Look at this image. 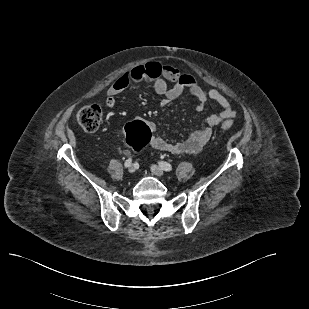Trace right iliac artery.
<instances>
[{"label": "right iliac artery", "instance_id": "obj_1", "mask_svg": "<svg viewBox=\"0 0 309 309\" xmlns=\"http://www.w3.org/2000/svg\"><path fill=\"white\" fill-rule=\"evenodd\" d=\"M131 163H132V158H129L125 161L124 166L127 168L131 165Z\"/></svg>", "mask_w": 309, "mask_h": 309}]
</instances>
